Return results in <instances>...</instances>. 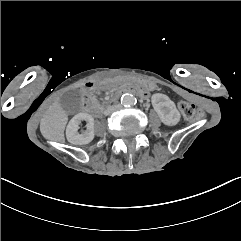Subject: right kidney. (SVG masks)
I'll use <instances>...</instances> for the list:
<instances>
[{
	"label": "right kidney",
	"mask_w": 241,
	"mask_h": 241,
	"mask_svg": "<svg viewBox=\"0 0 241 241\" xmlns=\"http://www.w3.org/2000/svg\"><path fill=\"white\" fill-rule=\"evenodd\" d=\"M82 121L87 122V132L79 134V124ZM95 137L94 118L88 113H79L75 115L67 125V141L74 145H86L93 141Z\"/></svg>",
	"instance_id": "right-kidney-1"
}]
</instances>
